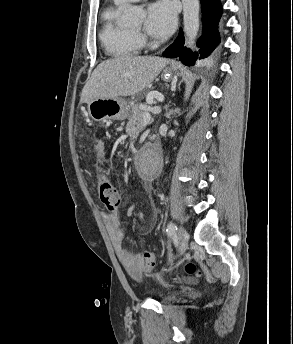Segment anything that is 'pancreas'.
<instances>
[{"label":"pancreas","mask_w":293,"mask_h":344,"mask_svg":"<svg viewBox=\"0 0 293 344\" xmlns=\"http://www.w3.org/2000/svg\"><path fill=\"white\" fill-rule=\"evenodd\" d=\"M143 113L144 111L137 104L132 106L129 125H136L138 131L143 128Z\"/></svg>","instance_id":"pancreas-1"}]
</instances>
